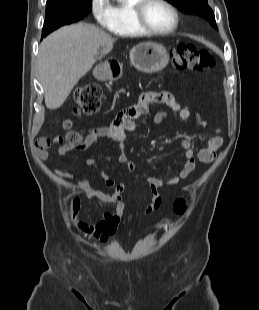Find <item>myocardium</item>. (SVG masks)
Returning a JSON list of instances; mask_svg holds the SVG:
<instances>
[{"mask_svg":"<svg viewBox=\"0 0 259 310\" xmlns=\"http://www.w3.org/2000/svg\"><path fill=\"white\" fill-rule=\"evenodd\" d=\"M152 1H158L162 4H164L167 8L171 10V12L174 15L175 22L173 27L167 30H156L153 27H151L145 18V11L149 3ZM133 18L135 24L138 26V28L149 35L154 36H166L174 33L180 25V14L177 8L168 0H138V2L133 6Z\"/></svg>","mask_w":259,"mask_h":310,"instance_id":"obj_1","label":"myocardium"}]
</instances>
